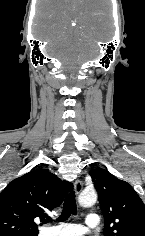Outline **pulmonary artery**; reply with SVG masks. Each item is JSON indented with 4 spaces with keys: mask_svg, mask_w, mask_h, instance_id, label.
<instances>
[{
    "mask_svg": "<svg viewBox=\"0 0 145 236\" xmlns=\"http://www.w3.org/2000/svg\"><path fill=\"white\" fill-rule=\"evenodd\" d=\"M86 224L87 227L74 223H62L55 227L45 229L43 236H82L88 228L98 227V216L96 214L87 215Z\"/></svg>",
    "mask_w": 145,
    "mask_h": 236,
    "instance_id": "e3ab8cb5",
    "label": "pulmonary artery"
}]
</instances>
